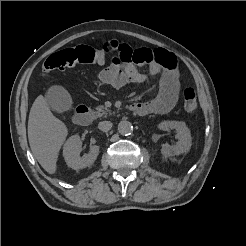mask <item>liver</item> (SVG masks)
Instances as JSON below:
<instances>
[{"label": "liver", "instance_id": "obj_1", "mask_svg": "<svg viewBox=\"0 0 246 246\" xmlns=\"http://www.w3.org/2000/svg\"><path fill=\"white\" fill-rule=\"evenodd\" d=\"M67 135L66 125L52 114L44 96L39 95L29 113L28 140L34 157L49 174L56 172L58 154Z\"/></svg>", "mask_w": 246, "mask_h": 246}]
</instances>
